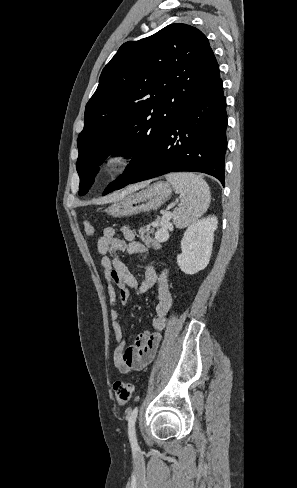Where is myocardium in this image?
Returning a JSON list of instances; mask_svg holds the SVG:
<instances>
[{
	"label": "myocardium",
	"mask_w": 297,
	"mask_h": 488,
	"mask_svg": "<svg viewBox=\"0 0 297 488\" xmlns=\"http://www.w3.org/2000/svg\"><path fill=\"white\" fill-rule=\"evenodd\" d=\"M138 151L129 144H118L109 148L101 159L102 172L111 178L127 172L137 161ZM116 162V166L111 168V164Z\"/></svg>",
	"instance_id": "myocardium-1"
}]
</instances>
